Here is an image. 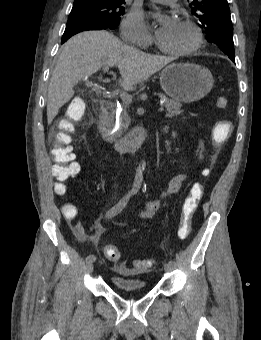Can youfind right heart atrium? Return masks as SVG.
<instances>
[{"instance_id":"obj_1","label":"right heart atrium","mask_w":261,"mask_h":340,"mask_svg":"<svg viewBox=\"0 0 261 340\" xmlns=\"http://www.w3.org/2000/svg\"><path fill=\"white\" fill-rule=\"evenodd\" d=\"M120 33L123 40L141 48H148L153 43V37L144 22L142 13L136 10L126 15L121 23Z\"/></svg>"}]
</instances>
